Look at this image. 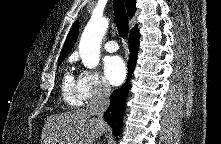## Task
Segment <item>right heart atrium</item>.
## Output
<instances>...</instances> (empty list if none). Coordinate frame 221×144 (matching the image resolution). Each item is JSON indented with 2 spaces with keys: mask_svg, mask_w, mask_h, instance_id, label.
I'll use <instances>...</instances> for the list:
<instances>
[{
  "mask_svg": "<svg viewBox=\"0 0 221 144\" xmlns=\"http://www.w3.org/2000/svg\"><path fill=\"white\" fill-rule=\"evenodd\" d=\"M79 92L84 102H90L107 97L110 86L105 79L94 70H82L78 77Z\"/></svg>",
  "mask_w": 221,
  "mask_h": 144,
  "instance_id": "d8ad5b80",
  "label": "right heart atrium"
}]
</instances>
